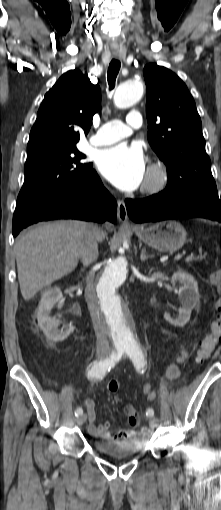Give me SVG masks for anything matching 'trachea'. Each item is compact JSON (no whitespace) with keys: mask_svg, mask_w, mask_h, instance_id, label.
Returning <instances> with one entry per match:
<instances>
[{"mask_svg":"<svg viewBox=\"0 0 221 510\" xmlns=\"http://www.w3.org/2000/svg\"><path fill=\"white\" fill-rule=\"evenodd\" d=\"M120 66H121L120 62L116 59H112V61L109 64L108 72H107V79H108V84H109L110 90H112L115 86V81H116V77L119 73Z\"/></svg>","mask_w":221,"mask_h":510,"instance_id":"3493384b","label":"trachea"}]
</instances>
